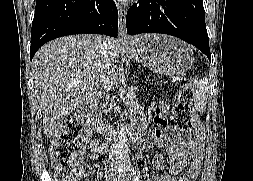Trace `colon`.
<instances>
[{"instance_id":"5ec220e1","label":"colon","mask_w":253,"mask_h":181,"mask_svg":"<svg viewBox=\"0 0 253 181\" xmlns=\"http://www.w3.org/2000/svg\"><path fill=\"white\" fill-rule=\"evenodd\" d=\"M195 88L185 84L179 91L174 103L171 123L181 132L190 131L196 124L192 104ZM88 138V132L79 117L67 119L59 129L51 146L52 165L57 181H77L82 172V155ZM174 181H180L178 176Z\"/></svg>"}]
</instances>
